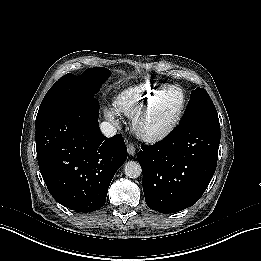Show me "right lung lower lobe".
<instances>
[{
	"label": "right lung lower lobe",
	"instance_id": "98d812e1",
	"mask_svg": "<svg viewBox=\"0 0 261 261\" xmlns=\"http://www.w3.org/2000/svg\"><path fill=\"white\" fill-rule=\"evenodd\" d=\"M99 111L83 101L69 103L36 128L42 177L52 197L78 212H93L106 201L110 182L127 158L121 134L106 139Z\"/></svg>",
	"mask_w": 261,
	"mask_h": 261
}]
</instances>
